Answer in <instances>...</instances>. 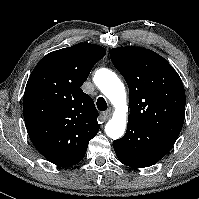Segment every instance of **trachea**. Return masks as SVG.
<instances>
[{
	"label": "trachea",
	"mask_w": 199,
	"mask_h": 199,
	"mask_svg": "<svg viewBox=\"0 0 199 199\" xmlns=\"http://www.w3.org/2000/svg\"><path fill=\"white\" fill-rule=\"evenodd\" d=\"M97 108L100 110V111H106L107 108H108V105H107V102L105 101V99L103 97H99L97 99Z\"/></svg>",
	"instance_id": "obj_1"
}]
</instances>
